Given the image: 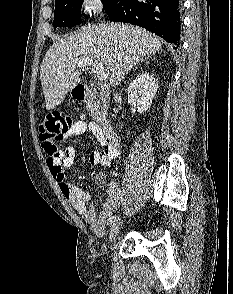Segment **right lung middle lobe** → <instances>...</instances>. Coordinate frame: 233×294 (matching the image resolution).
Returning a JSON list of instances; mask_svg holds the SVG:
<instances>
[{"label": "right lung middle lobe", "instance_id": "dd1d6c3e", "mask_svg": "<svg viewBox=\"0 0 233 294\" xmlns=\"http://www.w3.org/2000/svg\"><path fill=\"white\" fill-rule=\"evenodd\" d=\"M84 0H55L54 28L72 27L80 24L81 7ZM116 0H102L108 13Z\"/></svg>", "mask_w": 233, "mask_h": 294}]
</instances>
